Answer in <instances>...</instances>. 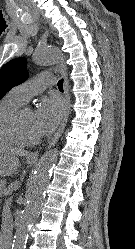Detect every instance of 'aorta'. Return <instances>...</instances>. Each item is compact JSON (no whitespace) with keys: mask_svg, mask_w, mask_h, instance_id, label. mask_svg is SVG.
I'll list each match as a JSON object with an SVG mask.
<instances>
[{"mask_svg":"<svg viewBox=\"0 0 135 249\" xmlns=\"http://www.w3.org/2000/svg\"><path fill=\"white\" fill-rule=\"evenodd\" d=\"M39 65H57L62 63L63 54L55 46L38 48L33 55ZM56 148L47 151L38 162L34 174L27 184L26 206L21 213L16 228L12 249H25L29 230L40 212L51 171L57 161Z\"/></svg>","mask_w":135,"mask_h":249,"instance_id":"obj_1","label":"aorta"}]
</instances>
